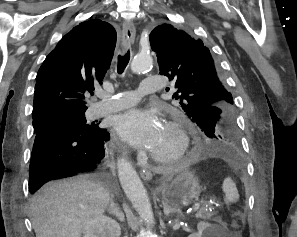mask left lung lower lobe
Segmentation results:
<instances>
[{
    "label": "left lung lower lobe",
    "instance_id": "0a47b994",
    "mask_svg": "<svg viewBox=\"0 0 297 237\" xmlns=\"http://www.w3.org/2000/svg\"><path fill=\"white\" fill-rule=\"evenodd\" d=\"M193 154L200 156L215 155L225 158H233L237 153L230 154L225 150L221 142L209 139L197 143L193 148Z\"/></svg>",
    "mask_w": 297,
    "mask_h": 237
}]
</instances>
